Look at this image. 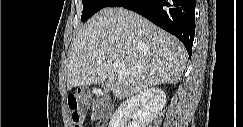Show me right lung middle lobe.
Wrapping results in <instances>:
<instances>
[{
    "mask_svg": "<svg viewBox=\"0 0 243 127\" xmlns=\"http://www.w3.org/2000/svg\"><path fill=\"white\" fill-rule=\"evenodd\" d=\"M114 0H82L83 12L81 21L85 22L96 12L104 7H108Z\"/></svg>",
    "mask_w": 243,
    "mask_h": 127,
    "instance_id": "right-lung-middle-lobe-1",
    "label": "right lung middle lobe"
}]
</instances>
